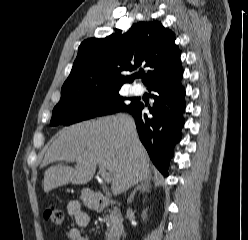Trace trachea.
<instances>
[{"instance_id": "3493384b", "label": "trachea", "mask_w": 248, "mask_h": 240, "mask_svg": "<svg viewBox=\"0 0 248 240\" xmlns=\"http://www.w3.org/2000/svg\"><path fill=\"white\" fill-rule=\"evenodd\" d=\"M140 77H146L147 76V74H145L144 72H142V73H140V75H139Z\"/></svg>"}]
</instances>
